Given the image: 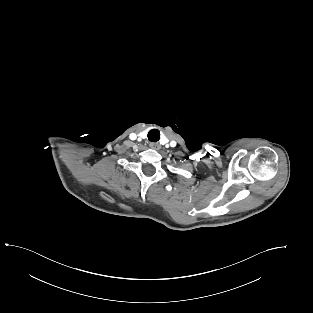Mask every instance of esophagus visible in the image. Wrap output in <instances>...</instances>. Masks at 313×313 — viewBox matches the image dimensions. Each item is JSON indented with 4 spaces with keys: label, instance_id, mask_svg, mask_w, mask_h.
<instances>
[{
    "label": "esophagus",
    "instance_id": "obj_1",
    "mask_svg": "<svg viewBox=\"0 0 313 313\" xmlns=\"http://www.w3.org/2000/svg\"><path fill=\"white\" fill-rule=\"evenodd\" d=\"M149 146L152 149H159L160 148V145L158 143H154V142H150Z\"/></svg>",
    "mask_w": 313,
    "mask_h": 313
}]
</instances>
